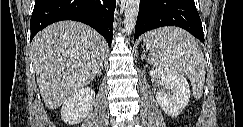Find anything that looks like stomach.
Instances as JSON below:
<instances>
[{"label":"stomach","instance_id":"0dacf381","mask_svg":"<svg viewBox=\"0 0 243 127\" xmlns=\"http://www.w3.org/2000/svg\"><path fill=\"white\" fill-rule=\"evenodd\" d=\"M152 33V32H151ZM149 33V34H151ZM148 49H151L153 46V43L151 41L145 43Z\"/></svg>","mask_w":243,"mask_h":127}]
</instances>
